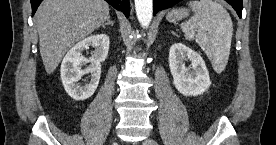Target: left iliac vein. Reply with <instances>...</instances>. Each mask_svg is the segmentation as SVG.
<instances>
[{
	"label": "left iliac vein",
	"instance_id": "obj_1",
	"mask_svg": "<svg viewBox=\"0 0 276 145\" xmlns=\"http://www.w3.org/2000/svg\"><path fill=\"white\" fill-rule=\"evenodd\" d=\"M144 144L145 145H158L157 142L151 138H147L145 141H144Z\"/></svg>",
	"mask_w": 276,
	"mask_h": 145
}]
</instances>
